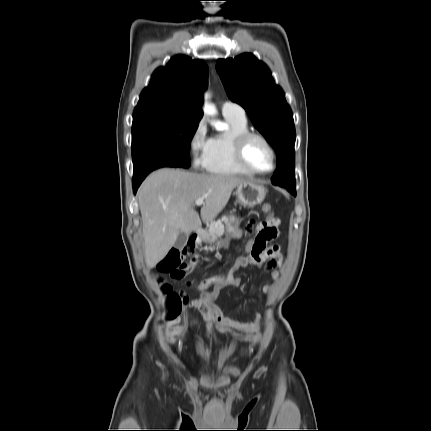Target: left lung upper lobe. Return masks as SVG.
<instances>
[{"label": "left lung upper lobe", "mask_w": 431, "mask_h": 431, "mask_svg": "<svg viewBox=\"0 0 431 431\" xmlns=\"http://www.w3.org/2000/svg\"><path fill=\"white\" fill-rule=\"evenodd\" d=\"M216 68L228 97L246 110L254 126L277 154L278 171L272 183L295 189L293 115L270 70L250 53L234 59H219Z\"/></svg>", "instance_id": "obj_1"}]
</instances>
